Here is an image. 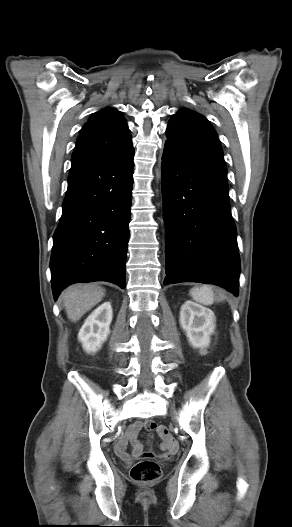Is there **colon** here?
Returning a JSON list of instances; mask_svg holds the SVG:
<instances>
[{"instance_id": "1", "label": "colon", "mask_w": 292, "mask_h": 527, "mask_svg": "<svg viewBox=\"0 0 292 527\" xmlns=\"http://www.w3.org/2000/svg\"><path fill=\"white\" fill-rule=\"evenodd\" d=\"M153 424L154 422L152 421H146L143 424V427L146 430H153ZM130 475L131 478L136 482L151 483L157 481L160 478L161 469L155 461L144 457L143 460H140L132 467Z\"/></svg>"}]
</instances>
